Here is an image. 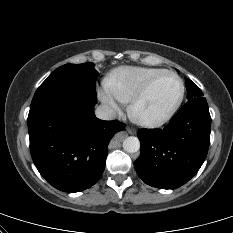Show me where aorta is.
I'll list each match as a JSON object with an SVG mask.
<instances>
[{"label":"aorta","mask_w":233,"mask_h":233,"mask_svg":"<svg viewBox=\"0 0 233 233\" xmlns=\"http://www.w3.org/2000/svg\"><path fill=\"white\" fill-rule=\"evenodd\" d=\"M123 149L128 153H135L140 149V141L137 137L130 136L123 141Z\"/></svg>","instance_id":"762f6f07"}]
</instances>
